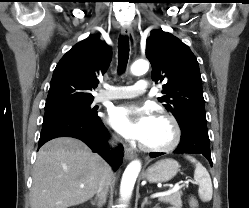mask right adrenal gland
<instances>
[{"mask_svg": "<svg viewBox=\"0 0 249 208\" xmlns=\"http://www.w3.org/2000/svg\"><path fill=\"white\" fill-rule=\"evenodd\" d=\"M105 203V200L103 202H101L100 204H98L100 207ZM91 204L92 205H96V202L91 200Z\"/></svg>", "mask_w": 249, "mask_h": 208, "instance_id": "right-adrenal-gland-1", "label": "right adrenal gland"}]
</instances>
